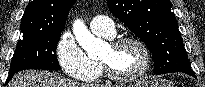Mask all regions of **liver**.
<instances>
[{"instance_id":"1","label":"liver","mask_w":205,"mask_h":87,"mask_svg":"<svg viewBox=\"0 0 205 87\" xmlns=\"http://www.w3.org/2000/svg\"><path fill=\"white\" fill-rule=\"evenodd\" d=\"M8 87H110L98 84H83L46 71L27 70L20 72Z\"/></svg>"}]
</instances>
